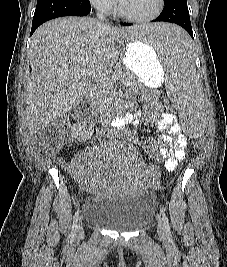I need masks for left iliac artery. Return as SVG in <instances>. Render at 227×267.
<instances>
[{
	"label": "left iliac artery",
	"instance_id": "obj_1",
	"mask_svg": "<svg viewBox=\"0 0 227 267\" xmlns=\"http://www.w3.org/2000/svg\"><path fill=\"white\" fill-rule=\"evenodd\" d=\"M160 212L162 214V219L164 221V226H165V230H166V234L168 237H171V232H170V227H169V222H168V218L165 214V211L163 208L160 209Z\"/></svg>",
	"mask_w": 227,
	"mask_h": 267
}]
</instances>
